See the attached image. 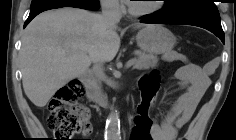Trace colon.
Masks as SVG:
<instances>
[{"mask_svg":"<svg viewBox=\"0 0 236 140\" xmlns=\"http://www.w3.org/2000/svg\"><path fill=\"white\" fill-rule=\"evenodd\" d=\"M159 89L156 75L144 77L140 83V99L132 118L129 140H152L153 125L151 112ZM84 88L80 81L71 82L60 87L48 105V125L55 140L70 138L83 130L87 120V110L78 103ZM182 140V139H179Z\"/></svg>","mask_w":236,"mask_h":140,"instance_id":"1","label":"colon"}]
</instances>
